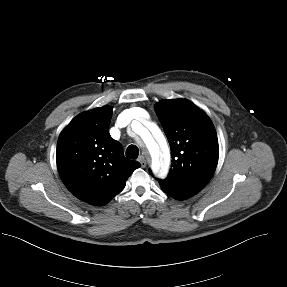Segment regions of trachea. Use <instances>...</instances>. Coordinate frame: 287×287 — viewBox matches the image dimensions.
Returning a JSON list of instances; mask_svg holds the SVG:
<instances>
[{
    "label": "trachea",
    "instance_id": "obj_1",
    "mask_svg": "<svg viewBox=\"0 0 287 287\" xmlns=\"http://www.w3.org/2000/svg\"><path fill=\"white\" fill-rule=\"evenodd\" d=\"M139 155V149L135 145H129L126 149V157L129 159H137Z\"/></svg>",
    "mask_w": 287,
    "mask_h": 287
}]
</instances>
